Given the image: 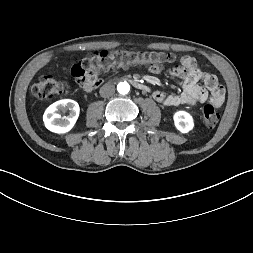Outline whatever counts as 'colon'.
<instances>
[{
  "label": "colon",
  "mask_w": 253,
  "mask_h": 253,
  "mask_svg": "<svg viewBox=\"0 0 253 253\" xmlns=\"http://www.w3.org/2000/svg\"><path fill=\"white\" fill-rule=\"evenodd\" d=\"M176 60L173 53L156 51H135L120 49L101 51L89 54L77 61L71 69L74 81L82 88H96L104 83L101 71L133 65L150 66L151 62L162 61L164 64ZM67 84L43 75L32 86V93L39 99H50L67 91ZM203 120L209 127H214L219 121V113L213 104H207L202 110Z\"/></svg>",
  "instance_id": "1"
}]
</instances>
